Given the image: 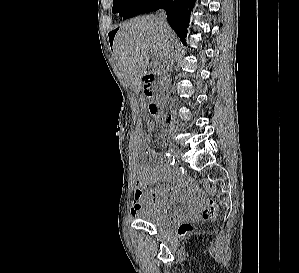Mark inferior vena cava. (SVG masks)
Listing matches in <instances>:
<instances>
[{
    "label": "inferior vena cava",
    "instance_id": "602c4592",
    "mask_svg": "<svg viewBox=\"0 0 299 273\" xmlns=\"http://www.w3.org/2000/svg\"><path fill=\"white\" fill-rule=\"evenodd\" d=\"M159 21L160 23L164 26L167 27V21H166V13L164 10H161L159 13ZM173 49V48H172ZM172 49L171 52L169 54V57L172 55ZM167 69H168V65L167 63H164L161 65V74H162V89L163 91L167 90V83H166V76H167Z\"/></svg>",
    "mask_w": 299,
    "mask_h": 273
}]
</instances>
